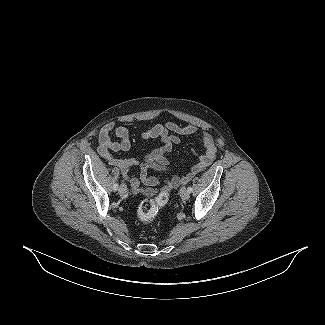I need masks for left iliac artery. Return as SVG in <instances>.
<instances>
[{
	"mask_svg": "<svg viewBox=\"0 0 325 325\" xmlns=\"http://www.w3.org/2000/svg\"><path fill=\"white\" fill-rule=\"evenodd\" d=\"M188 191H189V193H191L192 192V188L191 187H188Z\"/></svg>",
	"mask_w": 325,
	"mask_h": 325,
	"instance_id": "obj_1",
	"label": "left iliac artery"
}]
</instances>
